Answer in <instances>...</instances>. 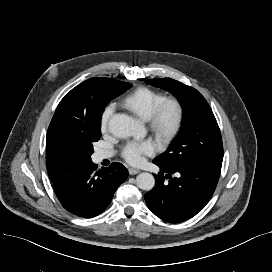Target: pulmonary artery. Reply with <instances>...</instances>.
<instances>
[{
  "instance_id": "pulmonary-artery-1",
  "label": "pulmonary artery",
  "mask_w": 272,
  "mask_h": 272,
  "mask_svg": "<svg viewBox=\"0 0 272 272\" xmlns=\"http://www.w3.org/2000/svg\"><path fill=\"white\" fill-rule=\"evenodd\" d=\"M111 156L112 154L110 152L103 151V150L97 151L95 153V158L97 161H102L104 159L110 158Z\"/></svg>"
}]
</instances>
